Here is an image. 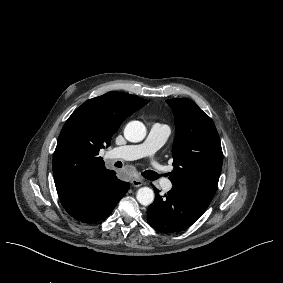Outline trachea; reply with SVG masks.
<instances>
[{"mask_svg": "<svg viewBox=\"0 0 283 283\" xmlns=\"http://www.w3.org/2000/svg\"><path fill=\"white\" fill-rule=\"evenodd\" d=\"M142 175L144 176V178H146L148 180H157L160 177L164 176V174H158V173L151 171V170L145 171Z\"/></svg>", "mask_w": 283, "mask_h": 283, "instance_id": "1", "label": "trachea"}]
</instances>
